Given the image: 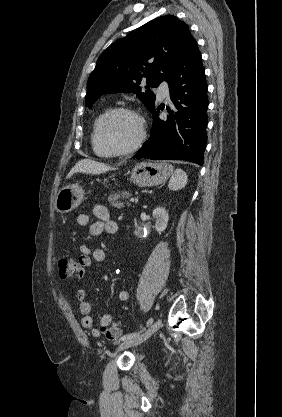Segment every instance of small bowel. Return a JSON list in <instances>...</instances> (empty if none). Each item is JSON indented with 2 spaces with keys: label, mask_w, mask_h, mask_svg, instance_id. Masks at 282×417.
Here are the masks:
<instances>
[{
  "label": "small bowel",
  "mask_w": 282,
  "mask_h": 417,
  "mask_svg": "<svg viewBox=\"0 0 282 417\" xmlns=\"http://www.w3.org/2000/svg\"><path fill=\"white\" fill-rule=\"evenodd\" d=\"M93 217L95 220H93ZM76 222L81 227H87L92 236H99L102 233L115 235L118 233V224L110 218L108 209L102 204H94L92 215L88 213H80L77 215ZM80 255L78 258L80 278L86 274V269L93 263H102L106 259L105 250L102 248L91 249L88 245L82 244L79 248ZM120 302H128L130 299V291L128 289H120L117 294ZM79 311L82 314V326L91 331L95 338H101L105 335L104 325L109 318H114L111 314L101 316L99 324H95L91 316V305L87 299V292L84 289L76 291Z\"/></svg>",
  "instance_id": "obj_1"
}]
</instances>
